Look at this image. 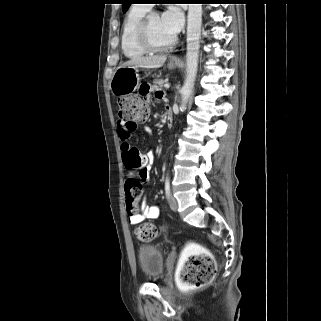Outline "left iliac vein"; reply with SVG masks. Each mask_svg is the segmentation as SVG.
Segmentation results:
<instances>
[{
  "label": "left iliac vein",
  "instance_id": "left-iliac-vein-1",
  "mask_svg": "<svg viewBox=\"0 0 321 321\" xmlns=\"http://www.w3.org/2000/svg\"><path fill=\"white\" fill-rule=\"evenodd\" d=\"M169 206L173 211H176L178 208L177 201L172 195L169 197Z\"/></svg>",
  "mask_w": 321,
  "mask_h": 321
}]
</instances>
